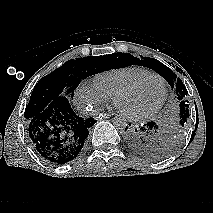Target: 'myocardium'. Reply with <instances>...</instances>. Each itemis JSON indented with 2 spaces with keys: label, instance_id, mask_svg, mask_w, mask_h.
<instances>
[{
  "label": "myocardium",
  "instance_id": "myocardium-1",
  "mask_svg": "<svg viewBox=\"0 0 213 213\" xmlns=\"http://www.w3.org/2000/svg\"><path fill=\"white\" fill-rule=\"evenodd\" d=\"M151 77L159 79L163 84L164 93H163V97H162L161 101L153 108H151L145 112L138 113V114L128 113V112H125L124 110H122L121 107L119 106V101L121 100V98H123L125 95H127L128 93L133 91L145 79L151 78ZM167 95H168V87H167L166 80L157 73L149 72L147 74H144V75L134 79L129 84H127L125 87H123L121 90H119L116 93V95L114 96L113 101H114L115 106L118 108V110L120 112H122L127 118L134 119V120H141V119L149 118V117L153 116L154 114H156L162 108L163 104L165 103V101L167 99Z\"/></svg>",
  "mask_w": 213,
  "mask_h": 213
}]
</instances>
